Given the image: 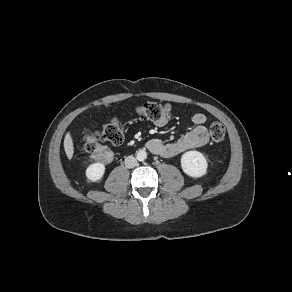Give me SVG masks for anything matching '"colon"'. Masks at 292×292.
<instances>
[{
	"mask_svg": "<svg viewBox=\"0 0 292 292\" xmlns=\"http://www.w3.org/2000/svg\"><path fill=\"white\" fill-rule=\"evenodd\" d=\"M171 108L167 104L159 102H147L136 108L138 116L154 122L168 119ZM210 136L214 142H222L225 139V127L218 122L210 126ZM124 140V133L118 119H111L102 129V131H88L84 136V149L86 152L96 155L103 162H109L112 159V152L108 149L102 151V142H110L114 145L121 144Z\"/></svg>",
	"mask_w": 292,
	"mask_h": 292,
	"instance_id": "1",
	"label": "colon"
}]
</instances>
